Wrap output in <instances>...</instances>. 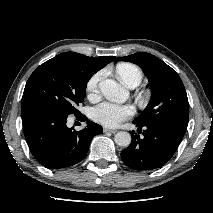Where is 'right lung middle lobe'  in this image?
I'll return each mask as SVG.
<instances>
[{"label": "right lung middle lobe", "mask_w": 213, "mask_h": 213, "mask_svg": "<svg viewBox=\"0 0 213 213\" xmlns=\"http://www.w3.org/2000/svg\"><path fill=\"white\" fill-rule=\"evenodd\" d=\"M93 72L85 64L57 55L41 64L28 79L22 103L36 101L68 116L80 115L77 106L85 97Z\"/></svg>", "instance_id": "right-lung-middle-lobe-1"}]
</instances>
